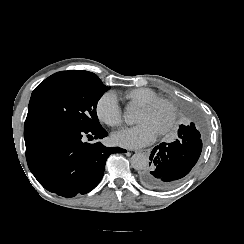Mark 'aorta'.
<instances>
[{"label": "aorta", "mask_w": 244, "mask_h": 244, "mask_svg": "<svg viewBox=\"0 0 244 244\" xmlns=\"http://www.w3.org/2000/svg\"><path fill=\"white\" fill-rule=\"evenodd\" d=\"M124 118L126 123L131 124L133 120V112L130 107L125 111ZM149 163V159L145 154L136 153L131 157V165L136 170H144Z\"/></svg>", "instance_id": "obj_1"}]
</instances>
